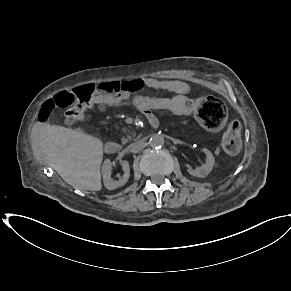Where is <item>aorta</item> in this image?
<instances>
[{"instance_id":"1","label":"aorta","mask_w":291,"mask_h":291,"mask_svg":"<svg viewBox=\"0 0 291 291\" xmlns=\"http://www.w3.org/2000/svg\"><path fill=\"white\" fill-rule=\"evenodd\" d=\"M164 142V137L160 134L153 135L149 140L150 146L155 148L162 147L164 145Z\"/></svg>"}]
</instances>
